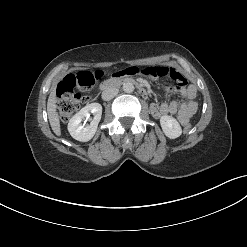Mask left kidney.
Masks as SVG:
<instances>
[{
  "label": "left kidney",
  "mask_w": 247,
  "mask_h": 247,
  "mask_svg": "<svg viewBox=\"0 0 247 247\" xmlns=\"http://www.w3.org/2000/svg\"><path fill=\"white\" fill-rule=\"evenodd\" d=\"M160 124L164 134L170 138L175 139L182 134V129L178 121L168 115H164L160 118Z\"/></svg>",
  "instance_id": "1"
}]
</instances>
